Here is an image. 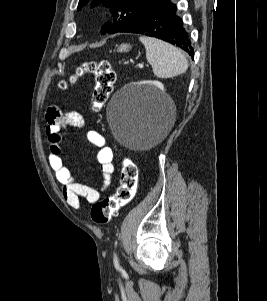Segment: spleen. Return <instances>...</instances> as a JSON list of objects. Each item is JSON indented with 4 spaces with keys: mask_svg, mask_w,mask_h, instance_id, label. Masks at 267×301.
<instances>
[{
    "mask_svg": "<svg viewBox=\"0 0 267 301\" xmlns=\"http://www.w3.org/2000/svg\"><path fill=\"white\" fill-rule=\"evenodd\" d=\"M139 40L145 46L146 59L156 77L171 78L186 72L188 61L179 49L152 37H140Z\"/></svg>",
    "mask_w": 267,
    "mask_h": 301,
    "instance_id": "spleen-1",
    "label": "spleen"
}]
</instances>
